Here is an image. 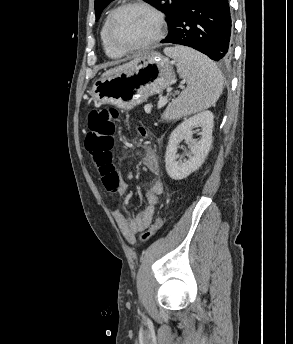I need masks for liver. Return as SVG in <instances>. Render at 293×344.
I'll use <instances>...</instances> for the list:
<instances>
[{
    "label": "liver",
    "mask_w": 293,
    "mask_h": 344,
    "mask_svg": "<svg viewBox=\"0 0 293 344\" xmlns=\"http://www.w3.org/2000/svg\"><path fill=\"white\" fill-rule=\"evenodd\" d=\"M140 59H141V57H136V58H134L133 60H131V61L125 63V64H122V65H120V66L111 68V69L105 71V72L102 74L101 78L106 77V76H109V75H113V74H115V73H119V72L124 71V70H127V69L133 67L134 65H136V64L140 61ZM101 78H100V79H101Z\"/></svg>",
    "instance_id": "liver-1"
}]
</instances>
